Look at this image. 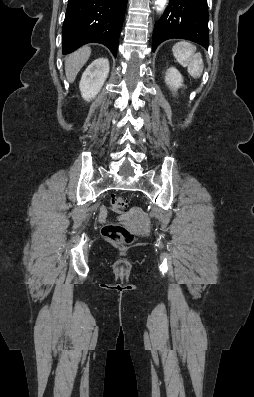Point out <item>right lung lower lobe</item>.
<instances>
[{
  "label": "right lung lower lobe",
  "instance_id": "1",
  "mask_svg": "<svg viewBox=\"0 0 254 397\" xmlns=\"http://www.w3.org/2000/svg\"><path fill=\"white\" fill-rule=\"evenodd\" d=\"M127 0H69L62 28V53L87 43L107 46L117 55Z\"/></svg>",
  "mask_w": 254,
  "mask_h": 397
}]
</instances>
